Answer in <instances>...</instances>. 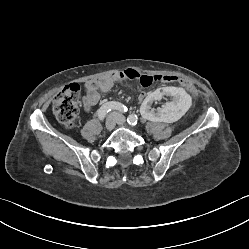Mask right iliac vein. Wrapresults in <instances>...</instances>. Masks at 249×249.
Returning a JSON list of instances; mask_svg holds the SVG:
<instances>
[{
	"mask_svg": "<svg viewBox=\"0 0 249 249\" xmlns=\"http://www.w3.org/2000/svg\"><path fill=\"white\" fill-rule=\"evenodd\" d=\"M116 121H117V114L116 113L109 115L108 118L106 119V123H105L106 129L108 131H112L116 125Z\"/></svg>",
	"mask_w": 249,
	"mask_h": 249,
	"instance_id": "63e3f726",
	"label": "right iliac vein"
}]
</instances>
